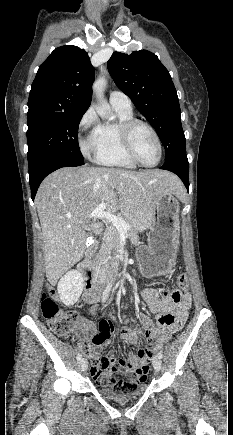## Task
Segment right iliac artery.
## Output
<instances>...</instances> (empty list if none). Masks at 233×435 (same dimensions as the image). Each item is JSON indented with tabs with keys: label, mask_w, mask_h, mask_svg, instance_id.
Masks as SVG:
<instances>
[{
	"label": "right iliac artery",
	"mask_w": 233,
	"mask_h": 435,
	"mask_svg": "<svg viewBox=\"0 0 233 435\" xmlns=\"http://www.w3.org/2000/svg\"><path fill=\"white\" fill-rule=\"evenodd\" d=\"M111 286H112V285L107 286V288H106V290H105V292H104L103 302L107 299V296H108V293H109V291H110ZM81 358H82V355H81V354H78V355H77V360H81Z\"/></svg>",
	"instance_id": "1"
}]
</instances>
